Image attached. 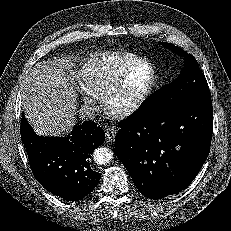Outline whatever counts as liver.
Returning a JSON list of instances; mask_svg holds the SVG:
<instances>
[{
  "label": "liver",
  "mask_w": 231,
  "mask_h": 231,
  "mask_svg": "<svg viewBox=\"0 0 231 231\" xmlns=\"http://www.w3.org/2000/svg\"><path fill=\"white\" fill-rule=\"evenodd\" d=\"M69 58L35 64L23 83L22 107L39 135L59 136L76 123V93Z\"/></svg>",
  "instance_id": "liver-1"
}]
</instances>
